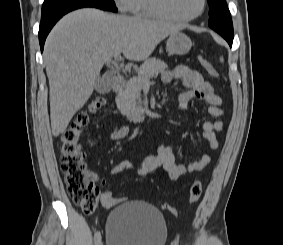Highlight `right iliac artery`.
<instances>
[{
  "label": "right iliac artery",
  "mask_w": 283,
  "mask_h": 245,
  "mask_svg": "<svg viewBox=\"0 0 283 245\" xmlns=\"http://www.w3.org/2000/svg\"><path fill=\"white\" fill-rule=\"evenodd\" d=\"M101 241V234L99 231H97L94 235V242H95V245H98V243Z\"/></svg>",
  "instance_id": "1"
}]
</instances>
